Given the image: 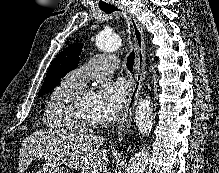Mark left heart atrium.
Returning <instances> with one entry per match:
<instances>
[{"label":"left heart atrium","instance_id":"1","mask_svg":"<svg viewBox=\"0 0 219 173\" xmlns=\"http://www.w3.org/2000/svg\"><path fill=\"white\" fill-rule=\"evenodd\" d=\"M128 86L122 80L105 81L96 95V110L101 120L115 116L126 103Z\"/></svg>","mask_w":219,"mask_h":173}]
</instances>
